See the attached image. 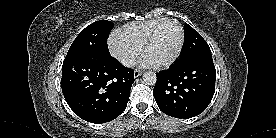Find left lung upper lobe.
I'll return each mask as SVG.
<instances>
[{"mask_svg": "<svg viewBox=\"0 0 276 138\" xmlns=\"http://www.w3.org/2000/svg\"><path fill=\"white\" fill-rule=\"evenodd\" d=\"M202 53H211L208 44L196 30H194L189 24H186L185 44L180 58L175 63H182Z\"/></svg>", "mask_w": 276, "mask_h": 138, "instance_id": "obj_1", "label": "left lung upper lobe"}]
</instances>
